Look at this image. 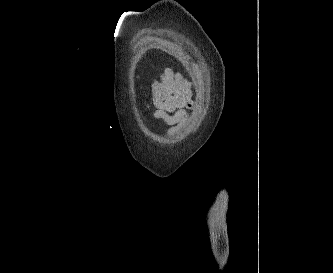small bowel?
I'll return each mask as SVG.
<instances>
[{"instance_id":"small-bowel-1","label":"small bowel","mask_w":333,"mask_h":273,"mask_svg":"<svg viewBox=\"0 0 333 273\" xmlns=\"http://www.w3.org/2000/svg\"><path fill=\"white\" fill-rule=\"evenodd\" d=\"M186 88L184 77L170 68H166L159 77L153 78L151 103L155 110L152 116L164 123L175 122L183 114L179 112L171 116L170 112L189 106L186 98L181 95ZM146 107L150 109L149 102Z\"/></svg>"}]
</instances>
